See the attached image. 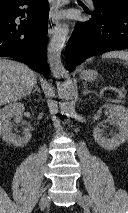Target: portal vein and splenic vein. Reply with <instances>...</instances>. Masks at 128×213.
<instances>
[{
  "label": "portal vein and splenic vein",
  "instance_id": "obj_1",
  "mask_svg": "<svg viewBox=\"0 0 128 213\" xmlns=\"http://www.w3.org/2000/svg\"><path fill=\"white\" fill-rule=\"evenodd\" d=\"M118 94H119V97H125L126 96V93H125L124 90H119Z\"/></svg>",
  "mask_w": 128,
  "mask_h": 213
}]
</instances>
